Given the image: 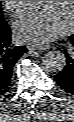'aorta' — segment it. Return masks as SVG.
Returning a JSON list of instances; mask_svg holds the SVG:
<instances>
[{
	"label": "aorta",
	"instance_id": "obj_1",
	"mask_svg": "<svg viewBox=\"0 0 74 122\" xmlns=\"http://www.w3.org/2000/svg\"><path fill=\"white\" fill-rule=\"evenodd\" d=\"M43 65L49 72H60L66 66L65 55L58 50L49 51L43 57Z\"/></svg>",
	"mask_w": 74,
	"mask_h": 122
}]
</instances>
